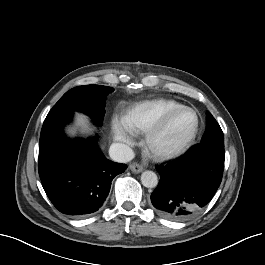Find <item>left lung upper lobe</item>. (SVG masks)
Returning <instances> with one entry per match:
<instances>
[{"label": "left lung upper lobe", "mask_w": 265, "mask_h": 265, "mask_svg": "<svg viewBox=\"0 0 265 265\" xmlns=\"http://www.w3.org/2000/svg\"><path fill=\"white\" fill-rule=\"evenodd\" d=\"M207 126L201 144L216 142L224 144L223 132L210 112H207ZM197 146V145H196ZM195 147V146H194Z\"/></svg>", "instance_id": "left-lung-upper-lobe-1"}]
</instances>
